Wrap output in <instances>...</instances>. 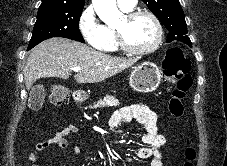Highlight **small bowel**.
I'll return each instance as SVG.
<instances>
[{
  "instance_id": "c3829d8e",
  "label": "small bowel",
  "mask_w": 227,
  "mask_h": 166,
  "mask_svg": "<svg viewBox=\"0 0 227 166\" xmlns=\"http://www.w3.org/2000/svg\"><path fill=\"white\" fill-rule=\"evenodd\" d=\"M133 119L142 124L145 129V132L141 137L145 147H142L138 150V157L140 159H149L150 166H162L163 156L161 149L165 145L166 139L163 135L158 133V114L148 105L131 104L115 111L110 119V123L113 127H115L122 122H129ZM77 132L78 129L76 126L68 125L59 130L50 139L36 144L34 149L28 154L29 160L34 162L33 166H39L35 162L38 160L39 155L43 151L54 149L55 147H68V138ZM72 150L76 156H79L80 149L78 146H73Z\"/></svg>"
}]
</instances>
